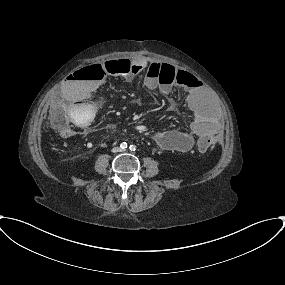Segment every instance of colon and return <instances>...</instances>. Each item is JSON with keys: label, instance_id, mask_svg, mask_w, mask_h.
Here are the masks:
<instances>
[{"label": "colon", "instance_id": "colon-1", "mask_svg": "<svg viewBox=\"0 0 285 285\" xmlns=\"http://www.w3.org/2000/svg\"><path fill=\"white\" fill-rule=\"evenodd\" d=\"M138 67L134 63L127 59L113 60L95 64L82 69L76 77L79 80H92L102 79L109 76H121L125 78L132 77L137 73ZM149 75L154 77L159 83L169 87H175L184 83L183 72L174 67H164L160 64H155L149 70ZM71 115L77 117L79 125L81 127H87L92 122V114L87 118L80 117L73 110ZM45 126L48 129L55 130L58 133H67L72 129V125L69 118V108L61 103H55L52 105L48 118L45 122ZM216 145L215 137L211 134H206L201 138L200 149L202 151H208L214 148Z\"/></svg>", "mask_w": 285, "mask_h": 285}]
</instances>
